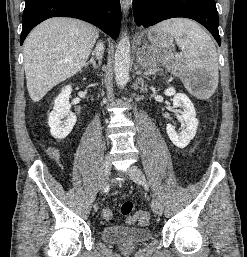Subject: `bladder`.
Instances as JSON below:
<instances>
[{"label":"bladder","instance_id":"obj_1","mask_svg":"<svg viewBox=\"0 0 247 257\" xmlns=\"http://www.w3.org/2000/svg\"><path fill=\"white\" fill-rule=\"evenodd\" d=\"M101 237L104 241L109 243L122 246H134L145 244L151 240L153 232L150 228L110 225L101 229Z\"/></svg>","mask_w":247,"mask_h":257}]
</instances>
